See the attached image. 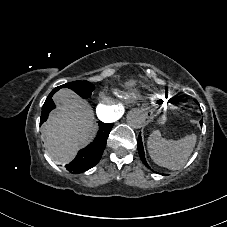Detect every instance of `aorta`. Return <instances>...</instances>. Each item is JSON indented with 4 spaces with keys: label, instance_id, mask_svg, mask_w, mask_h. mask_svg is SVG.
<instances>
[{
    "label": "aorta",
    "instance_id": "762f6f07",
    "mask_svg": "<svg viewBox=\"0 0 227 227\" xmlns=\"http://www.w3.org/2000/svg\"><path fill=\"white\" fill-rule=\"evenodd\" d=\"M147 115L140 109H133L127 114V123L130 127L139 129L146 124Z\"/></svg>",
    "mask_w": 227,
    "mask_h": 227
}]
</instances>
